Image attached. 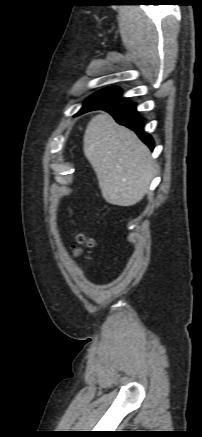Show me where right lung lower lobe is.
<instances>
[{"label": "right lung lower lobe", "mask_w": 202, "mask_h": 437, "mask_svg": "<svg viewBox=\"0 0 202 437\" xmlns=\"http://www.w3.org/2000/svg\"><path fill=\"white\" fill-rule=\"evenodd\" d=\"M97 110H105L110 113L119 124L135 131L151 150L154 149L152 137L143 131V121L136 110V103L105 105Z\"/></svg>", "instance_id": "right-lung-lower-lobe-1"}]
</instances>
